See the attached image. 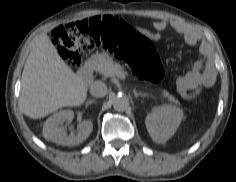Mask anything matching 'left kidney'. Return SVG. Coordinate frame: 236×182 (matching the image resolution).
I'll return each instance as SVG.
<instances>
[{
	"label": "left kidney",
	"instance_id": "5707ae66",
	"mask_svg": "<svg viewBox=\"0 0 236 182\" xmlns=\"http://www.w3.org/2000/svg\"><path fill=\"white\" fill-rule=\"evenodd\" d=\"M183 116V110L175 106L155 107L145 119L152 140L156 143H165L169 140L179 127Z\"/></svg>",
	"mask_w": 236,
	"mask_h": 182
}]
</instances>
